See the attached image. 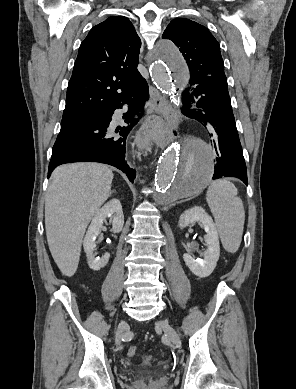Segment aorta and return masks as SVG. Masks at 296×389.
<instances>
[{
    "label": "aorta",
    "instance_id": "762f6f07",
    "mask_svg": "<svg viewBox=\"0 0 296 389\" xmlns=\"http://www.w3.org/2000/svg\"><path fill=\"white\" fill-rule=\"evenodd\" d=\"M151 77L165 94H179L185 97L188 69L177 47L162 40L155 48V61L151 66ZM173 102L177 105V101ZM214 157L210 147L200 139H178L159 160L155 174V190L158 203L195 195L203 184L212 178Z\"/></svg>",
    "mask_w": 296,
    "mask_h": 389
}]
</instances>
